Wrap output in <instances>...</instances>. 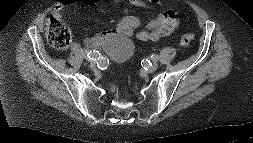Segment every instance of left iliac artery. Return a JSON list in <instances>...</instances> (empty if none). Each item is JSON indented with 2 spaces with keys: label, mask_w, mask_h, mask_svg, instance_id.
Wrapping results in <instances>:
<instances>
[{
  "label": "left iliac artery",
  "mask_w": 253,
  "mask_h": 143,
  "mask_svg": "<svg viewBox=\"0 0 253 143\" xmlns=\"http://www.w3.org/2000/svg\"><path fill=\"white\" fill-rule=\"evenodd\" d=\"M151 58H152V60L157 61L159 59V56L158 55H152Z\"/></svg>",
  "instance_id": "left-iliac-artery-1"
}]
</instances>
